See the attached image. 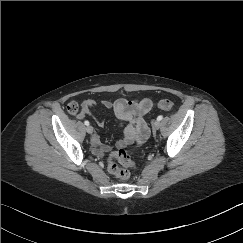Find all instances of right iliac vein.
I'll use <instances>...</instances> for the list:
<instances>
[{
    "label": "right iliac vein",
    "instance_id": "right-iliac-vein-1",
    "mask_svg": "<svg viewBox=\"0 0 243 243\" xmlns=\"http://www.w3.org/2000/svg\"><path fill=\"white\" fill-rule=\"evenodd\" d=\"M86 131H87L88 134H92L93 131H94V129H93L92 126H89V125H88L87 128H86Z\"/></svg>",
    "mask_w": 243,
    "mask_h": 243
}]
</instances>
